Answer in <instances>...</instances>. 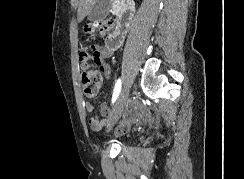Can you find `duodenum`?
Wrapping results in <instances>:
<instances>
[{
    "mask_svg": "<svg viewBox=\"0 0 244 179\" xmlns=\"http://www.w3.org/2000/svg\"><path fill=\"white\" fill-rule=\"evenodd\" d=\"M136 2L132 0H119L115 8V16L120 22L119 31L107 37V43L114 45L123 40V37L127 34L130 22L135 12Z\"/></svg>",
    "mask_w": 244,
    "mask_h": 179,
    "instance_id": "1",
    "label": "duodenum"
}]
</instances>
